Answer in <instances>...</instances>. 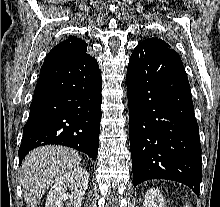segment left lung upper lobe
<instances>
[{
	"label": "left lung upper lobe",
	"mask_w": 220,
	"mask_h": 207,
	"mask_svg": "<svg viewBox=\"0 0 220 207\" xmlns=\"http://www.w3.org/2000/svg\"><path fill=\"white\" fill-rule=\"evenodd\" d=\"M141 43H142V44H151V45H154V46H160V47L171 48L168 43L164 42V41L161 40V39H158L157 37L145 39V40H143Z\"/></svg>",
	"instance_id": "left-lung-upper-lobe-1"
}]
</instances>
